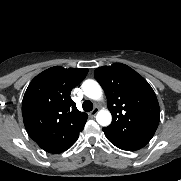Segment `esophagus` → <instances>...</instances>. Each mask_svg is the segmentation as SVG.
Returning <instances> with one entry per match:
<instances>
[{
    "instance_id": "34e87169",
    "label": "esophagus",
    "mask_w": 181,
    "mask_h": 181,
    "mask_svg": "<svg viewBox=\"0 0 181 181\" xmlns=\"http://www.w3.org/2000/svg\"><path fill=\"white\" fill-rule=\"evenodd\" d=\"M99 111V109L97 107H95L90 113V117H95V115L97 114V112Z\"/></svg>"
}]
</instances>
